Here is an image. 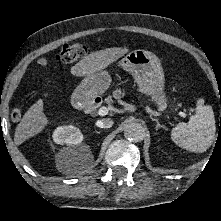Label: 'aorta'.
<instances>
[{"instance_id": "762f6f07", "label": "aorta", "mask_w": 221, "mask_h": 221, "mask_svg": "<svg viewBox=\"0 0 221 221\" xmlns=\"http://www.w3.org/2000/svg\"><path fill=\"white\" fill-rule=\"evenodd\" d=\"M144 135L145 130L141 124L130 121L124 125V136L128 140L140 142L143 140Z\"/></svg>"}]
</instances>
